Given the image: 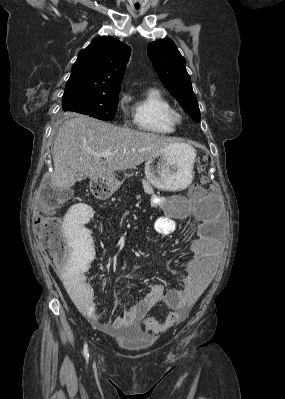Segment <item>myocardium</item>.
<instances>
[{
	"instance_id": "myocardium-1",
	"label": "myocardium",
	"mask_w": 285,
	"mask_h": 399,
	"mask_svg": "<svg viewBox=\"0 0 285 399\" xmlns=\"http://www.w3.org/2000/svg\"><path fill=\"white\" fill-rule=\"evenodd\" d=\"M169 120L174 125L179 124L182 121V115L177 110L172 109L169 112Z\"/></svg>"
}]
</instances>
